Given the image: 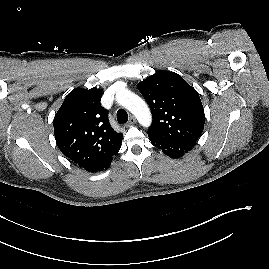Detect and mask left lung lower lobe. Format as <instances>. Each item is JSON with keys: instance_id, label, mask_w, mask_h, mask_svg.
I'll use <instances>...</instances> for the list:
<instances>
[{"instance_id": "0a47b994", "label": "left lung lower lobe", "mask_w": 269, "mask_h": 269, "mask_svg": "<svg viewBox=\"0 0 269 269\" xmlns=\"http://www.w3.org/2000/svg\"><path fill=\"white\" fill-rule=\"evenodd\" d=\"M151 143L161 149L167 156L172 158H179L183 156L186 152L190 151L196 144V142H168L159 141L149 138Z\"/></svg>"}]
</instances>
